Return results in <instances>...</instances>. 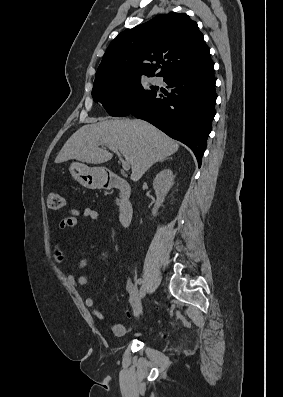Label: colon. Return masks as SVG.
Returning a JSON list of instances; mask_svg holds the SVG:
<instances>
[{
    "instance_id": "obj_1",
    "label": "colon",
    "mask_w": 283,
    "mask_h": 397,
    "mask_svg": "<svg viewBox=\"0 0 283 397\" xmlns=\"http://www.w3.org/2000/svg\"><path fill=\"white\" fill-rule=\"evenodd\" d=\"M63 196L58 192H50L47 196V206L52 210H60L64 207Z\"/></svg>"
}]
</instances>
